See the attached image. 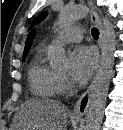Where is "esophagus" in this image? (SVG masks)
<instances>
[{
  "mask_svg": "<svg viewBox=\"0 0 123 130\" xmlns=\"http://www.w3.org/2000/svg\"><path fill=\"white\" fill-rule=\"evenodd\" d=\"M88 5L91 8V21L96 25V27L99 30L100 36H99V46L102 50L103 47V41H104V33L103 28L101 25V21L99 20V17L96 13L95 7L93 5V2L91 0H88ZM94 89V81L90 84V86L87 88V90L79 97L78 101L76 102L74 111L72 113V117L75 119H82L88 111L90 101L92 98Z\"/></svg>",
  "mask_w": 123,
  "mask_h": 130,
  "instance_id": "obj_1",
  "label": "esophagus"
}]
</instances>
